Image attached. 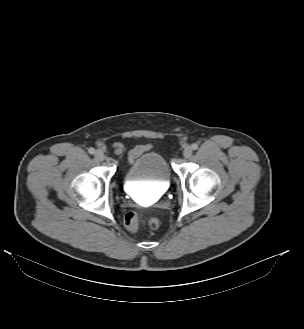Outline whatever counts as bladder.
Returning <instances> with one entry per match:
<instances>
[{"mask_svg": "<svg viewBox=\"0 0 304 329\" xmlns=\"http://www.w3.org/2000/svg\"><path fill=\"white\" fill-rule=\"evenodd\" d=\"M171 179L170 168L162 154L156 151L144 152L136 157L123 174L125 186L138 183L168 185Z\"/></svg>", "mask_w": 304, "mask_h": 329, "instance_id": "1", "label": "bladder"}]
</instances>
